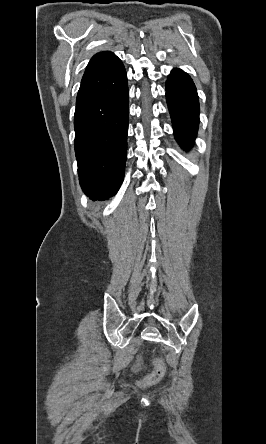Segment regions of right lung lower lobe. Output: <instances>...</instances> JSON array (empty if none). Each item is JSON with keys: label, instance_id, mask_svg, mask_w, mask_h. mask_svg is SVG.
Masks as SVG:
<instances>
[{"label": "right lung lower lobe", "instance_id": "98d812e1", "mask_svg": "<svg viewBox=\"0 0 266 444\" xmlns=\"http://www.w3.org/2000/svg\"><path fill=\"white\" fill-rule=\"evenodd\" d=\"M127 74L118 57L81 81L74 116L80 184L93 200L119 190L127 154Z\"/></svg>", "mask_w": 266, "mask_h": 444}]
</instances>
